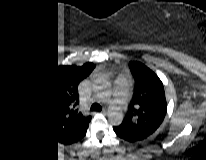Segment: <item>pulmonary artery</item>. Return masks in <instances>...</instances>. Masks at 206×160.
<instances>
[{
    "mask_svg": "<svg viewBox=\"0 0 206 160\" xmlns=\"http://www.w3.org/2000/svg\"><path fill=\"white\" fill-rule=\"evenodd\" d=\"M128 96V83L124 77H118L113 88V97L115 101L122 105L126 102Z\"/></svg>",
    "mask_w": 206,
    "mask_h": 160,
    "instance_id": "e3ab8cb5",
    "label": "pulmonary artery"
}]
</instances>
